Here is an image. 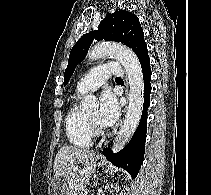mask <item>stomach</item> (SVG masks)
Segmentation results:
<instances>
[{
    "label": "stomach",
    "mask_w": 211,
    "mask_h": 195,
    "mask_svg": "<svg viewBox=\"0 0 211 195\" xmlns=\"http://www.w3.org/2000/svg\"><path fill=\"white\" fill-rule=\"evenodd\" d=\"M96 161H98V165H105L106 162L103 158H96ZM54 186L56 185H61V187L64 189V188H67V182L63 179V178H60V177H55L54 178ZM56 195H61V192L60 191H57L56 192Z\"/></svg>",
    "instance_id": "0dacf381"
}]
</instances>
